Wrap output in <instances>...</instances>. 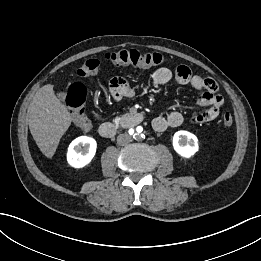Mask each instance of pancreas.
<instances>
[{"label":"pancreas","instance_id":"obj_1","mask_svg":"<svg viewBox=\"0 0 261 261\" xmlns=\"http://www.w3.org/2000/svg\"><path fill=\"white\" fill-rule=\"evenodd\" d=\"M120 120H121L120 117H116V118L114 119V123H115V124H118V123L120 122Z\"/></svg>","mask_w":261,"mask_h":261}]
</instances>
